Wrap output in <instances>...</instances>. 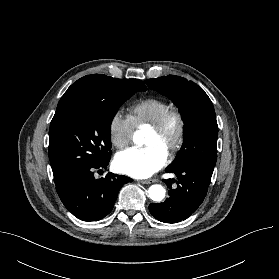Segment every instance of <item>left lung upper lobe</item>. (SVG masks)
I'll return each instance as SVG.
<instances>
[{
    "label": "left lung upper lobe",
    "mask_w": 279,
    "mask_h": 279,
    "mask_svg": "<svg viewBox=\"0 0 279 279\" xmlns=\"http://www.w3.org/2000/svg\"><path fill=\"white\" fill-rule=\"evenodd\" d=\"M149 88L168 96L184 121V142L175 160L167 167H191L212 176L217 159L218 125L213 104L197 84L168 75L145 80Z\"/></svg>",
    "instance_id": "left-lung-upper-lobe-1"
}]
</instances>
